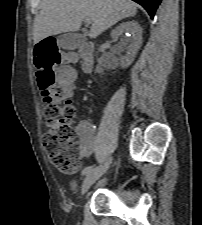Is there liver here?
<instances>
[{
  "mask_svg": "<svg viewBox=\"0 0 202 225\" xmlns=\"http://www.w3.org/2000/svg\"><path fill=\"white\" fill-rule=\"evenodd\" d=\"M136 13V4L128 0H43L34 20V43L51 35L78 31L85 18L92 21L89 37L94 39Z\"/></svg>",
  "mask_w": 202,
  "mask_h": 225,
  "instance_id": "liver-1",
  "label": "liver"
}]
</instances>
